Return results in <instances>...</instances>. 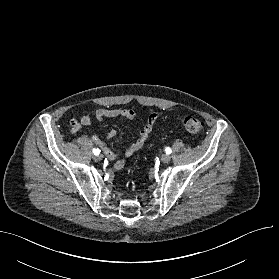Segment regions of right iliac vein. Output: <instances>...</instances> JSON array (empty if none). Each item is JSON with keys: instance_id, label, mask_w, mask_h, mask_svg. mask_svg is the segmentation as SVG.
<instances>
[{"instance_id": "63e3f726", "label": "right iliac vein", "mask_w": 279, "mask_h": 279, "mask_svg": "<svg viewBox=\"0 0 279 279\" xmlns=\"http://www.w3.org/2000/svg\"><path fill=\"white\" fill-rule=\"evenodd\" d=\"M94 159L96 160V161H100V160H102L103 159V156L100 154V155H96L95 157H94Z\"/></svg>"}]
</instances>
